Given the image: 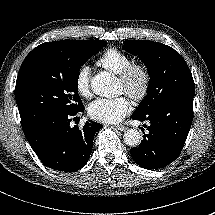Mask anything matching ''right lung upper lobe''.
I'll return each instance as SVG.
<instances>
[{"label": "right lung upper lobe", "mask_w": 215, "mask_h": 215, "mask_svg": "<svg viewBox=\"0 0 215 215\" xmlns=\"http://www.w3.org/2000/svg\"><path fill=\"white\" fill-rule=\"evenodd\" d=\"M71 40H61V41H55V42H49V43H43L36 48H34L24 59L20 70L36 63L40 58H42L48 51H50L53 47L67 42Z\"/></svg>", "instance_id": "right-lung-upper-lobe-1"}]
</instances>
